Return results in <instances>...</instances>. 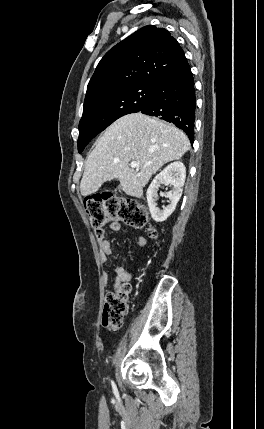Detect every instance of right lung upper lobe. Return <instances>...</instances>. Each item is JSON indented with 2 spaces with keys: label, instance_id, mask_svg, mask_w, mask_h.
<instances>
[{
  "label": "right lung upper lobe",
  "instance_id": "cb5924a9",
  "mask_svg": "<svg viewBox=\"0 0 264 429\" xmlns=\"http://www.w3.org/2000/svg\"><path fill=\"white\" fill-rule=\"evenodd\" d=\"M184 56L167 30L145 26L101 59L88 84L84 103L132 85H156Z\"/></svg>",
  "mask_w": 264,
  "mask_h": 429
}]
</instances>
